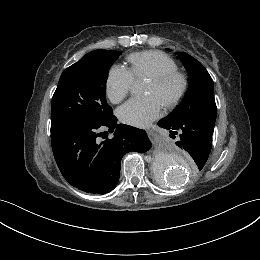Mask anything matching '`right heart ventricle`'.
I'll return each instance as SVG.
<instances>
[{"label": "right heart ventricle", "mask_w": 260, "mask_h": 260, "mask_svg": "<svg viewBox=\"0 0 260 260\" xmlns=\"http://www.w3.org/2000/svg\"><path fill=\"white\" fill-rule=\"evenodd\" d=\"M127 61L133 78L144 79L177 70L172 58L163 52L150 50L131 54Z\"/></svg>", "instance_id": "right-heart-ventricle-1"}]
</instances>
